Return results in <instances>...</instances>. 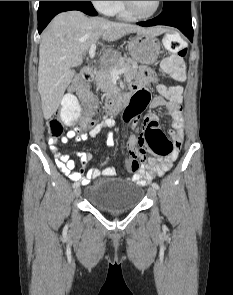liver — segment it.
<instances>
[{
	"label": "liver",
	"instance_id": "obj_1",
	"mask_svg": "<svg viewBox=\"0 0 233 295\" xmlns=\"http://www.w3.org/2000/svg\"><path fill=\"white\" fill-rule=\"evenodd\" d=\"M163 32L161 27L143 28L101 17L88 18L76 10L58 14L43 32L39 46L37 87L44 118L48 120L56 112L76 73L74 68L83 63V55L100 38L113 42L130 33L156 36ZM103 58L112 60L115 55L105 50Z\"/></svg>",
	"mask_w": 233,
	"mask_h": 295
}]
</instances>
